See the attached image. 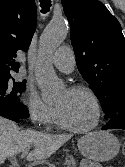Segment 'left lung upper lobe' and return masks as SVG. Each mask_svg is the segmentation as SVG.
<instances>
[{"instance_id":"5c2ea615","label":"left lung upper lobe","mask_w":125,"mask_h":167,"mask_svg":"<svg viewBox=\"0 0 125 167\" xmlns=\"http://www.w3.org/2000/svg\"><path fill=\"white\" fill-rule=\"evenodd\" d=\"M62 5L77 67L95 90L104 118L125 113V38L120 23L97 0H62Z\"/></svg>"}]
</instances>
